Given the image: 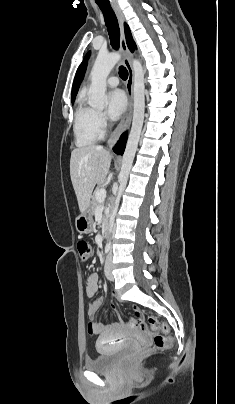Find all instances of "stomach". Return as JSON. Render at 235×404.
<instances>
[{"label": "stomach", "mask_w": 235, "mask_h": 404, "mask_svg": "<svg viewBox=\"0 0 235 404\" xmlns=\"http://www.w3.org/2000/svg\"><path fill=\"white\" fill-rule=\"evenodd\" d=\"M76 230L80 234H88L91 233L94 227V221L92 217V211L88 207V209L82 212L75 220Z\"/></svg>", "instance_id": "1"}]
</instances>
